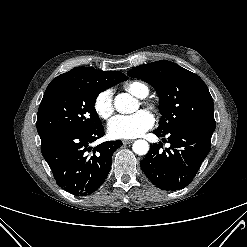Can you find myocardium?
<instances>
[{
  "instance_id": "myocardium-1",
  "label": "myocardium",
  "mask_w": 247,
  "mask_h": 247,
  "mask_svg": "<svg viewBox=\"0 0 247 247\" xmlns=\"http://www.w3.org/2000/svg\"><path fill=\"white\" fill-rule=\"evenodd\" d=\"M144 105L147 106L151 110L155 109V104L153 102L146 101V102H144Z\"/></svg>"
}]
</instances>
